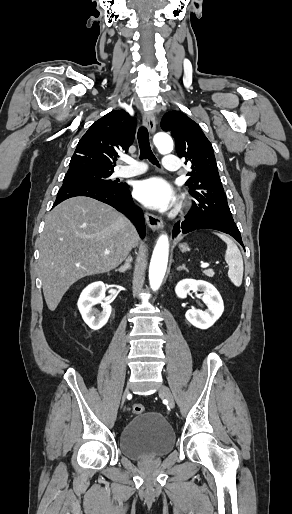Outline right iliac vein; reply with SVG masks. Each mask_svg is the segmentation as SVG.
Instances as JSON below:
<instances>
[{"mask_svg": "<svg viewBox=\"0 0 292 514\" xmlns=\"http://www.w3.org/2000/svg\"><path fill=\"white\" fill-rule=\"evenodd\" d=\"M128 394H129V388L126 387L124 392H123V395H122V401H124L126 399Z\"/></svg>", "mask_w": 292, "mask_h": 514, "instance_id": "right-iliac-vein-1", "label": "right iliac vein"}]
</instances>
